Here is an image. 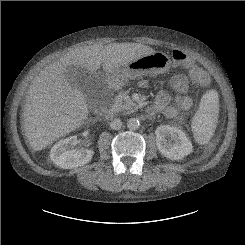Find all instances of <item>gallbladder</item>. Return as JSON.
Listing matches in <instances>:
<instances>
[{"label":"gallbladder","instance_id":"gallbladder-1","mask_svg":"<svg viewBox=\"0 0 245 245\" xmlns=\"http://www.w3.org/2000/svg\"><path fill=\"white\" fill-rule=\"evenodd\" d=\"M69 83L80 90L88 105L99 109L105 101H109V92L102 77L97 72H90L84 67L70 66L67 68Z\"/></svg>","mask_w":245,"mask_h":245}]
</instances>
